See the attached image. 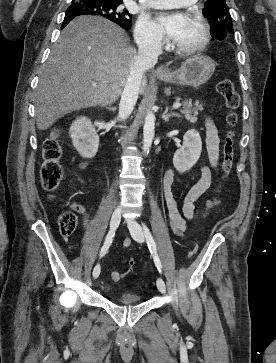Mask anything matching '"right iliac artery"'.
I'll return each mask as SVG.
<instances>
[{
  "label": "right iliac artery",
  "mask_w": 276,
  "mask_h": 363,
  "mask_svg": "<svg viewBox=\"0 0 276 363\" xmlns=\"http://www.w3.org/2000/svg\"><path fill=\"white\" fill-rule=\"evenodd\" d=\"M114 235H115V232L114 231H110L107 234L106 239H105V242H104V245H103V247H102V249L100 251V257H103L107 253L110 245L112 244ZM99 274H100V269L98 271V276H99Z\"/></svg>",
  "instance_id": "obj_1"
}]
</instances>
